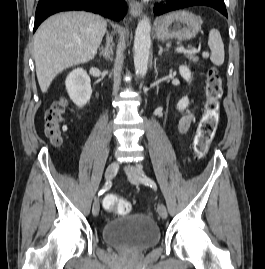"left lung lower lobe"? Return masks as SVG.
<instances>
[{"label": "left lung lower lobe", "mask_w": 265, "mask_h": 269, "mask_svg": "<svg viewBox=\"0 0 265 269\" xmlns=\"http://www.w3.org/2000/svg\"><path fill=\"white\" fill-rule=\"evenodd\" d=\"M196 5L210 6L218 10L227 17V11L224 0H177L173 2H168L167 4L164 5L155 6L154 13L156 15H161L170 11Z\"/></svg>", "instance_id": "0a47b994"}]
</instances>
